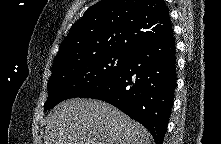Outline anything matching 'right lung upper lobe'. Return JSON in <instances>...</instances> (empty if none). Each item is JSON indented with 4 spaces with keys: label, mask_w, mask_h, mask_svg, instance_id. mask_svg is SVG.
<instances>
[{
    "label": "right lung upper lobe",
    "mask_w": 221,
    "mask_h": 144,
    "mask_svg": "<svg viewBox=\"0 0 221 144\" xmlns=\"http://www.w3.org/2000/svg\"><path fill=\"white\" fill-rule=\"evenodd\" d=\"M164 0H101L71 27L53 68L96 54H132L171 29Z\"/></svg>",
    "instance_id": "cb5924a9"
}]
</instances>
